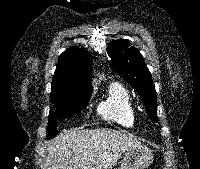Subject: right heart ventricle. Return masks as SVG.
<instances>
[{
    "instance_id": "obj_1",
    "label": "right heart ventricle",
    "mask_w": 200,
    "mask_h": 169,
    "mask_svg": "<svg viewBox=\"0 0 200 169\" xmlns=\"http://www.w3.org/2000/svg\"><path fill=\"white\" fill-rule=\"evenodd\" d=\"M98 113L103 119L125 128H133L137 120L132 96L118 81L108 85L106 98L98 106Z\"/></svg>"
}]
</instances>
